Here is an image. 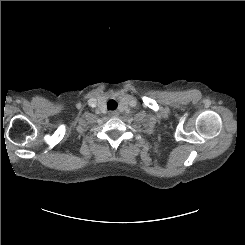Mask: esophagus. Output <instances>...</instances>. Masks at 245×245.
I'll list each match as a JSON object with an SVG mask.
<instances>
[{
	"label": "esophagus",
	"mask_w": 245,
	"mask_h": 245,
	"mask_svg": "<svg viewBox=\"0 0 245 245\" xmlns=\"http://www.w3.org/2000/svg\"><path fill=\"white\" fill-rule=\"evenodd\" d=\"M111 117H117L118 116V113L116 111H112L110 113Z\"/></svg>",
	"instance_id": "1"
}]
</instances>
